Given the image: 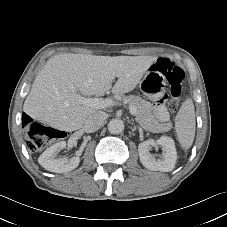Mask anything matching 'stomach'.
I'll use <instances>...</instances> for the list:
<instances>
[{"label":"stomach","mask_w":227,"mask_h":227,"mask_svg":"<svg viewBox=\"0 0 227 227\" xmlns=\"http://www.w3.org/2000/svg\"><path fill=\"white\" fill-rule=\"evenodd\" d=\"M166 81L162 73L150 68L139 83L140 91L150 100L162 98L166 92Z\"/></svg>","instance_id":"obj_1"}]
</instances>
